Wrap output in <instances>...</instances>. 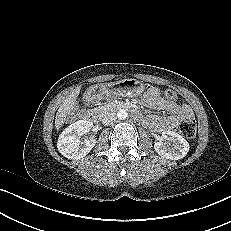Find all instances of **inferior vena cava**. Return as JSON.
I'll list each match as a JSON object with an SVG mask.
<instances>
[{"instance_id":"inferior-vena-cava-1","label":"inferior vena cava","mask_w":231,"mask_h":231,"mask_svg":"<svg viewBox=\"0 0 231 231\" xmlns=\"http://www.w3.org/2000/svg\"><path fill=\"white\" fill-rule=\"evenodd\" d=\"M117 119L115 113L107 112L102 117V123L106 126L113 124Z\"/></svg>"}]
</instances>
